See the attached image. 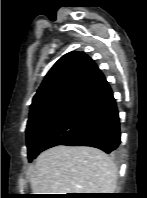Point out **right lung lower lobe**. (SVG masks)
<instances>
[{
	"instance_id": "1",
	"label": "right lung lower lobe",
	"mask_w": 147,
	"mask_h": 198,
	"mask_svg": "<svg viewBox=\"0 0 147 198\" xmlns=\"http://www.w3.org/2000/svg\"><path fill=\"white\" fill-rule=\"evenodd\" d=\"M120 142L116 102L104 80L73 105L40 143L36 156L57 145L91 146L106 153H116Z\"/></svg>"
}]
</instances>
